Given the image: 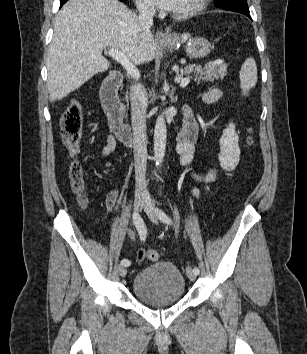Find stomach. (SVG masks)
Listing matches in <instances>:
<instances>
[{
	"mask_svg": "<svg viewBox=\"0 0 307 354\" xmlns=\"http://www.w3.org/2000/svg\"><path fill=\"white\" fill-rule=\"evenodd\" d=\"M186 40V35L177 33H169L163 39H159L158 43L161 47L168 50H176ZM212 50L211 43L204 37H193L186 46V54L191 59H202L210 54Z\"/></svg>",
	"mask_w": 307,
	"mask_h": 354,
	"instance_id": "0dacf381",
	"label": "stomach"
}]
</instances>
